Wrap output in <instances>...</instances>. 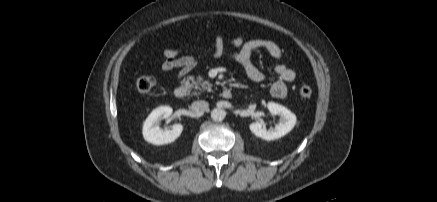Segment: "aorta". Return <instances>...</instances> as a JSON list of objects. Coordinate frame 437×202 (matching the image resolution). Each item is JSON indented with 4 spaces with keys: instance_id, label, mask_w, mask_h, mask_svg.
<instances>
[{
    "instance_id": "1",
    "label": "aorta",
    "mask_w": 437,
    "mask_h": 202,
    "mask_svg": "<svg viewBox=\"0 0 437 202\" xmlns=\"http://www.w3.org/2000/svg\"><path fill=\"white\" fill-rule=\"evenodd\" d=\"M225 111L221 108H215L211 111V118L214 121L220 122L225 118Z\"/></svg>"
}]
</instances>
